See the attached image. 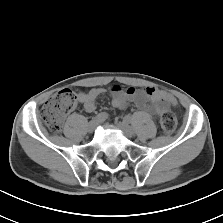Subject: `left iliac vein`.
<instances>
[{
  "mask_svg": "<svg viewBox=\"0 0 223 223\" xmlns=\"http://www.w3.org/2000/svg\"><path fill=\"white\" fill-rule=\"evenodd\" d=\"M118 128L124 133L127 138H132L134 136L133 128L128 124L127 121H122L117 124Z\"/></svg>",
  "mask_w": 223,
  "mask_h": 223,
  "instance_id": "4c4485c4",
  "label": "left iliac vein"
}]
</instances>
